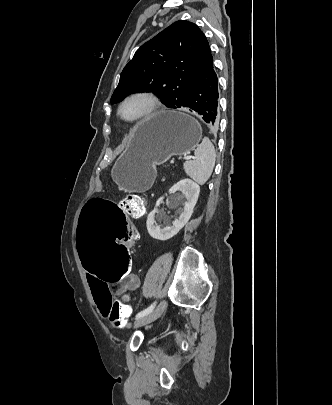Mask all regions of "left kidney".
I'll list each match as a JSON object with an SVG mask.
<instances>
[{
  "mask_svg": "<svg viewBox=\"0 0 332 405\" xmlns=\"http://www.w3.org/2000/svg\"><path fill=\"white\" fill-rule=\"evenodd\" d=\"M176 191H181L185 195L187 201L183 206V211L181 212L179 218L174 220L172 226L167 222L166 227L161 229L160 226L155 224L156 219L160 220L163 218V215L158 211L157 207L163 201L164 197H160L156 201L154 210L148 214L146 222L147 230L150 236L154 239L165 241L172 238L187 224L191 218L193 209L198 200L200 187L189 179H183L174 184V186L170 188L169 193L172 194Z\"/></svg>",
  "mask_w": 332,
  "mask_h": 405,
  "instance_id": "left-kidney-1",
  "label": "left kidney"
}]
</instances>
